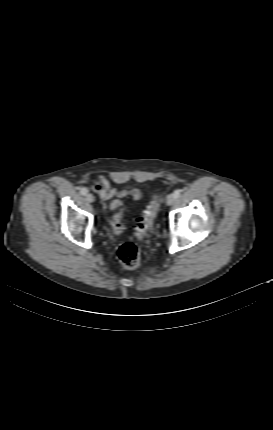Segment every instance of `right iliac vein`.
Wrapping results in <instances>:
<instances>
[{
	"label": "right iliac vein",
	"instance_id": "63e3f726",
	"mask_svg": "<svg viewBox=\"0 0 273 430\" xmlns=\"http://www.w3.org/2000/svg\"><path fill=\"white\" fill-rule=\"evenodd\" d=\"M86 200H87V202L92 203V202H94L95 198L91 193H88V194H86Z\"/></svg>",
	"mask_w": 273,
	"mask_h": 430
}]
</instances>
